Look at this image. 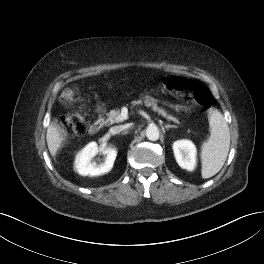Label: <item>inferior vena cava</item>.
Masks as SVG:
<instances>
[{
  "label": "inferior vena cava",
  "instance_id": "inferior-vena-cava-1",
  "mask_svg": "<svg viewBox=\"0 0 264 264\" xmlns=\"http://www.w3.org/2000/svg\"><path fill=\"white\" fill-rule=\"evenodd\" d=\"M125 129V126H115V127H112L110 129V133L111 134H117V133H120L121 131H123Z\"/></svg>",
  "mask_w": 264,
  "mask_h": 264
}]
</instances>
